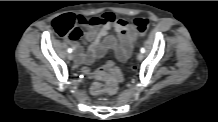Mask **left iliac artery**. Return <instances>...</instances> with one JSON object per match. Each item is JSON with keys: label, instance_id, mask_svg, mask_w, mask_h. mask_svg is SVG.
Segmentation results:
<instances>
[{"label": "left iliac artery", "instance_id": "44dca946", "mask_svg": "<svg viewBox=\"0 0 218 122\" xmlns=\"http://www.w3.org/2000/svg\"><path fill=\"white\" fill-rule=\"evenodd\" d=\"M140 51H141L142 53H144V52H145V49L142 47V48L140 49Z\"/></svg>", "mask_w": 218, "mask_h": 122}]
</instances>
